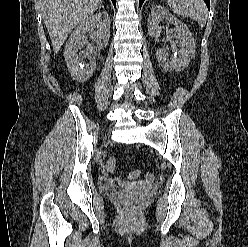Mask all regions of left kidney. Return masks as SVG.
I'll list each match as a JSON object with an SVG mask.
<instances>
[{"instance_id":"obj_1","label":"left kidney","mask_w":248,"mask_h":247,"mask_svg":"<svg viewBox=\"0 0 248 247\" xmlns=\"http://www.w3.org/2000/svg\"><path fill=\"white\" fill-rule=\"evenodd\" d=\"M166 21L174 25V37L178 40V55L169 58L167 49H160L157 52V60L162 68L166 71H180L188 66L195 55V41L188 27L172 16L167 10L160 5L151 8L148 17V34L152 37H158L161 34L159 23Z\"/></svg>"}]
</instances>
